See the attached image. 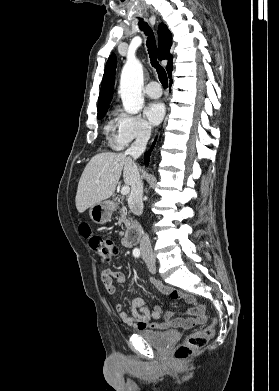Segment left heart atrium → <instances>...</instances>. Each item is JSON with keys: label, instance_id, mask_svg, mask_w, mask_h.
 I'll return each instance as SVG.
<instances>
[{"label": "left heart atrium", "instance_id": "left-heart-atrium-1", "mask_svg": "<svg viewBox=\"0 0 279 391\" xmlns=\"http://www.w3.org/2000/svg\"><path fill=\"white\" fill-rule=\"evenodd\" d=\"M165 107L160 101L151 102L145 108V115L152 124H158L164 117Z\"/></svg>", "mask_w": 279, "mask_h": 391}]
</instances>
